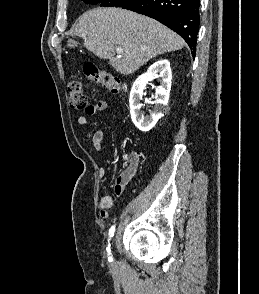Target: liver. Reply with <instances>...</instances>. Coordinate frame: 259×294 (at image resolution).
Masks as SVG:
<instances>
[{
	"mask_svg": "<svg viewBox=\"0 0 259 294\" xmlns=\"http://www.w3.org/2000/svg\"><path fill=\"white\" fill-rule=\"evenodd\" d=\"M84 40L87 50L109 60L119 73L129 75L150 59L182 49L185 41L158 21L121 8H95L85 12L70 30ZM122 47V52H116Z\"/></svg>",
	"mask_w": 259,
	"mask_h": 294,
	"instance_id": "obj_1",
	"label": "liver"
}]
</instances>
